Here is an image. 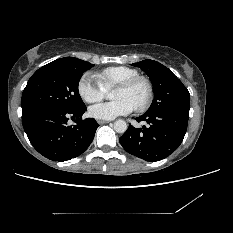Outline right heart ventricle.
I'll use <instances>...</instances> for the list:
<instances>
[{
	"label": "right heart ventricle",
	"mask_w": 233,
	"mask_h": 233,
	"mask_svg": "<svg viewBox=\"0 0 233 233\" xmlns=\"http://www.w3.org/2000/svg\"><path fill=\"white\" fill-rule=\"evenodd\" d=\"M135 75H138V71L134 68L128 66H111L96 73L95 77L108 90Z\"/></svg>",
	"instance_id": "e07e8e85"
}]
</instances>
